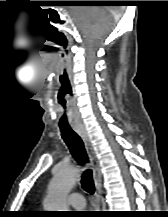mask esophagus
<instances>
[{
	"instance_id": "1",
	"label": "esophagus",
	"mask_w": 168,
	"mask_h": 217,
	"mask_svg": "<svg viewBox=\"0 0 168 217\" xmlns=\"http://www.w3.org/2000/svg\"><path fill=\"white\" fill-rule=\"evenodd\" d=\"M73 129L83 140L86 152H87L89 160H90L92 171H93V179H94V183H95V187H96V195H95L96 200H97V203L100 204V196H101V192H102V174H101L99 161L96 157V154L94 152L93 146L90 142L88 133H87L84 125L83 124H77V125L73 126Z\"/></svg>"
}]
</instances>
